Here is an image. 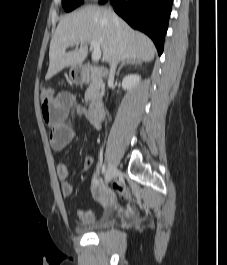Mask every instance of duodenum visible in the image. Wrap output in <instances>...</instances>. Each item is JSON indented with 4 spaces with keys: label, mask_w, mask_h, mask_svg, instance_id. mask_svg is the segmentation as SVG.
Listing matches in <instances>:
<instances>
[{
    "label": "duodenum",
    "mask_w": 227,
    "mask_h": 265,
    "mask_svg": "<svg viewBox=\"0 0 227 265\" xmlns=\"http://www.w3.org/2000/svg\"><path fill=\"white\" fill-rule=\"evenodd\" d=\"M95 69L89 65H84L79 68L75 76V80L78 83H85L89 81ZM90 114L97 120H100L103 114V104L102 99L99 95L95 96L89 104Z\"/></svg>",
    "instance_id": "1"
}]
</instances>
